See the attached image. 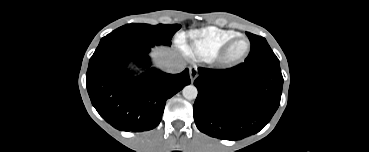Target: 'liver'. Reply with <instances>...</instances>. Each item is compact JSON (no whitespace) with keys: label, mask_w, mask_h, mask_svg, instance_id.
<instances>
[{"label":"liver","mask_w":369,"mask_h":152,"mask_svg":"<svg viewBox=\"0 0 369 152\" xmlns=\"http://www.w3.org/2000/svg\"><path fill=\"white\" fill-rule=\"evenodd\" d=\"M152 57L158 67H163V64L167 61H180L176 53L167 48H157L153 50Z\"/></svg>","instance_id":"liver-1"}]
</instances>
